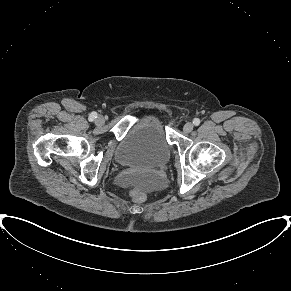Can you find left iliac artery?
<instances>
[{
	"instance_id": "left-iliac-artery-1",
	"label": "left iliac artery",
	"mask_w": 291,
	"mask_h": 291,
	"mask_svg": "<svg viewBox=\"0 0 291 291\" xmlns=\"http://www.w3.org/2000/svg\"><path fill=\"white\" fill-rule=\"evenodd\" d=\"M193 124H194L195 126H198V125L200 124V119L195 118V119L193 120Z\"/></svg>"
}]
</instances>
